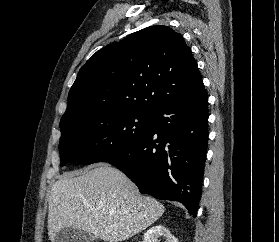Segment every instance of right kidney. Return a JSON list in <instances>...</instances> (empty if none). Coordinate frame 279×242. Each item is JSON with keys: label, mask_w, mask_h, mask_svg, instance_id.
Listing matches in <instances>:
<instances>
[{"label": "right kidney", "mask_w": 279, "mask_h": 242, "mask_svg": "<svg viewBox=\"0 0 279 242\" xmlns=\"http://www.w3.org/2000/svg\"><path fill=\"white\" fill-rule=\"evenodd\" d=\"M160 237H164L166 242H178V240L170 233V231L161 224L151 227L144 234L142 242H158Z\"/></svg>", "instance_id": "ca27d5eb"}]
</instances>
